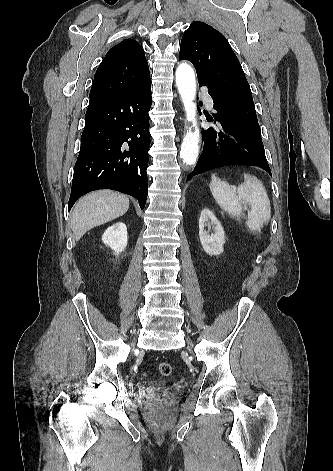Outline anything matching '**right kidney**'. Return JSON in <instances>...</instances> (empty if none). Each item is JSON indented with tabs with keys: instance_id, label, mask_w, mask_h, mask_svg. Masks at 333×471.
<instances>
[{
	"instance_id": "ca27d5eb",
	"label": "right kidney",
	"mask_w": 333,
	"mask_h": 471,
	"mask_svg": "<svg viewBox=\"0 0 333 471\" xmlns=\"http://www.w3.org/2000/svg\"><path fill=\"white\" fill-rule=\"evenodd\" d=\"M127 239V227L122 222L113 224L102 235L103 243L114 250L117 255L126 248Z\"/></svg>"
}]
</instances>
